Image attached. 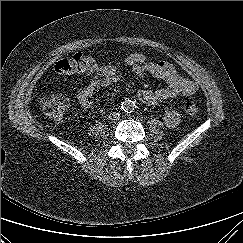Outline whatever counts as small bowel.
Here are the masks:
<instances>
[{
  "label": "small bowel",
  "instance_id": "small-bowel-1",
  "mask_svg": "<svg viewBox=\"0 0 243 243\" xmlns=\"http://www.w3.org/2000/svg\"><path fill=\"white\" fill-rule=\"evenodd\" d=\"M126 65L130 66L138 76L148 74L154 78L161 79L166 83V87L158 90L143 89L139 91V100L146 105H155L159 101L193 95L197 89V84L178 73L175 67L166 61H151L145 55L131 54L125 59ZM120 74L113 77L102 78L93 77L87 85L77 94V100L84 108H91L98 91L102 87H107L120 78ZM164 122L168 127H175L180 121L179 113L174 109H166L163 115Z\"/></svg>",
  "mask_w": 243,
  "mask_h": 243
}]
</instances>
